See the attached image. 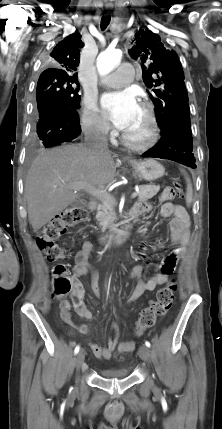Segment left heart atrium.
Listing matches in <instances>:
<instances>
[{
	"label": "left heart atrium",
	"mask_w": 222,
	"mask_h": 429,
	"mask_svg": "<svg viewBox=\"0 0 222 429\" xmlns=\"http://www.w3.org/2000/svg\"><path fill=\"white\" fill-rule=\"evenodd\" d=\"M101 105L114 127L122 131L131 125L139 108L135 95L128 90L103 95Z\"/></svg>",
	"instance_id": "obj_1"
}]
</instances>
